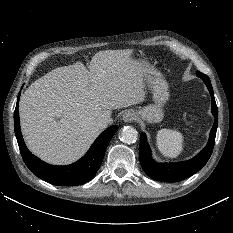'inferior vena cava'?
Wrapping results in <instances>:
<instances>
[{
    "label": "inferior vena cava",
    "instance_id": "1",
    "mask_svg": "<svg viewBox=\"0 0 233 233\" xmlns=\"http://www.w3.org/2000/svg\"><path fill=\"white\" fill-rule=\"evenodd\" d=\"M112 118L109 116V115H104V116H102V117H100L99 119H98V121H97V124L100 126V127H102V128H104V127H106L108 124H110V123H112Z\"/></svg>",
    "mask_w": 233,
    "mask_h": 233
}]
</instances>
